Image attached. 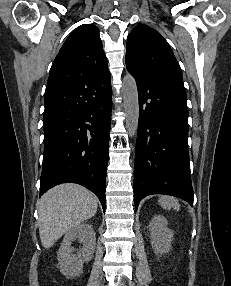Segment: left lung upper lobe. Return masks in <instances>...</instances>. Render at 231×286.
<instances>
[{
	"instance_id": "obj_1",
	"label": "left lung upper lobe",
	"mask_w": 231,
	"mask_h": 286,
	"mask_svg": "<svg viewBox=\"0 0 231 286\" xmlns=\"http://www.w3.org/2000/svg\"><path fill=\"white\" fill-rule=\"evenodd\" d=\"M126 67L152 81L184 88L182 72L170 46L149 26L139 25L128 35Z\"/></svg>"
}]
</instances>
